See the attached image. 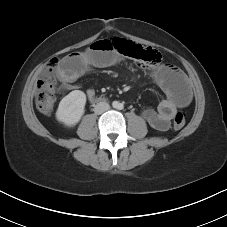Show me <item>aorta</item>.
<instances>
[{"label":"aorta","instance_id":"aorta-1","mask_svg":"<svg viewBox=\"0 0 227 227\" xmlns=\"http://www.w3.org/2000/svg\"><path fill=\"white\" fill-rule=\"evenodd\" d=\"M113 107L116 108V109H120L121 108V104L117 101L113 102Z\"/></svg>","mask_w":227,"mask_h":227}]
</instances>
